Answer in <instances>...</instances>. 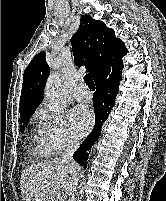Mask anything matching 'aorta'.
<instances>
[{
    "label": "aorta",
    "instance_id": "aorta-1",
    "mask_svg": "<svg viewBox=\"0 0 166 201\" xmlns=\"http://www.w3.org/2000/svg\"><path fill=\"white\" fill-rule=\"evenodd\" d=\"M45 100L50 110L61 112L66 103L63 82L58 73L52 74L45 87Z\"/></svg>",
    "mask_w": 166,
    "mask_h": 201
}]
</instances>
